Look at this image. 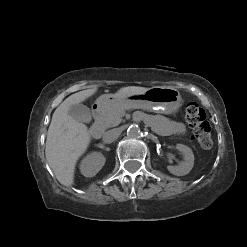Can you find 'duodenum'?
<instances>
[{"label": "duodenum", "mask_w": 247, "mask_h": 247, "mask_svg": "<svg viewBox=\"0 0 247 247\" xmlns=\"http://www.w3.org/2000/svg\"><path fill=\"white\" fill-rule=\"evenodd\" d=\"M106 112V106L100 105L94 109V123L90 129L91 136L95 139H99L104 132V115Z\"/></svg>", "instance_id": "410a0bca"}]
</instances>
